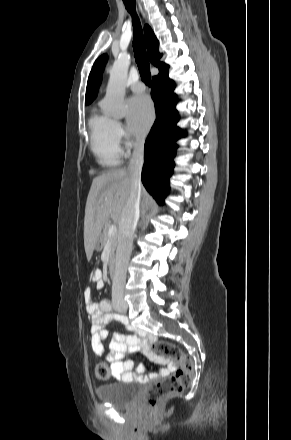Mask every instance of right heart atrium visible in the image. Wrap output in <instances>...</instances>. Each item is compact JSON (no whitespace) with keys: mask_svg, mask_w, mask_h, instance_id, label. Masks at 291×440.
Returning a JSON list of instances; mask_svg holds the SVG:
<instances>
[{"mask_svg":"<svg viewBox=\"0 0 291 440\" xmlns=\"http://www.w3.org/2000/svg\"><path fill=\"white\" fill-rule=\"evenodd\" d=\"M114 131L115 138L120 149H122V147H129L132 145V141L129 135L127 134L123 125L120 122H115Z\"/></svg>","mask_w":291,"mask_h":440,"instance_id":"1","label":"right heart atrium"}]
</instances>
